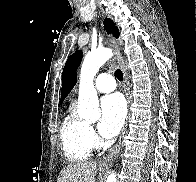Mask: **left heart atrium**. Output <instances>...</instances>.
<instances>
[{
    "label": "left heart atrium",
    "instance_id": "1",
    "mask_svg": "<svg viewBox=\"0 0 196 182\" xmlns=\"http://www.w3.org/2000/svg\"><path fill=\"white\" fill-rule=\"evenodd\" d=\"M101 119L99 131L105 138L115 137L121 130L126 118V105L120 94H110L101 99Z\"/></svg>",
    "mask_w": 196,
    "mask_h": 182
}]
</instances>
